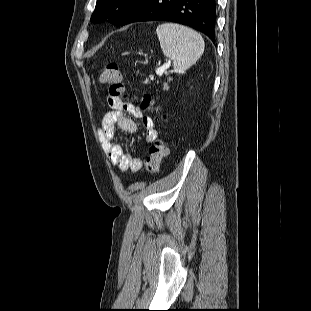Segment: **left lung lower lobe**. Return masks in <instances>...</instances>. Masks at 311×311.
Masks as SVG:
<instances>
[{"label":"left lung lower lobe","instance_id":"left-lung-lower-lobe-1","mask_svg":"<svg viewBox=\"0 0 311 311\" xmlns=\"http://www.w3.org/2000/svg\"><path fill=\"white\" fill-rule=\"evenodd\" d=\"M139 21H171L190 26L215 41V0H136L119 25Z\"/></svg>","mask_w":311,"mask_h":311}]
</instances>
